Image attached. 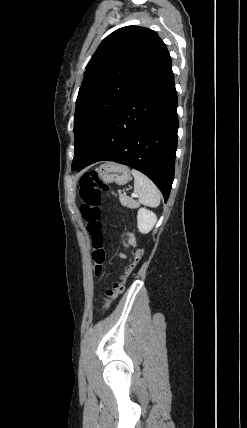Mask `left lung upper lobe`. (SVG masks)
I'll return each mask as SVG.
<instances>
[{"label":"left lung upper lobe","mask_w":247,"mask_h":428,"mask_svg":"<svg viewBox=\"0 0 247 428\" xmlns=\"http://www.w3.org/2000/svg\"><path fill=\"white\" fill-rule=\"evenodd\" d=\"M170 60L166 45L148 28L123 27L101 42L76 100L72 166L85 160L123 100L147 85Z\"/></svg>","instance_id":"5c2ea615"}]
</instances>
